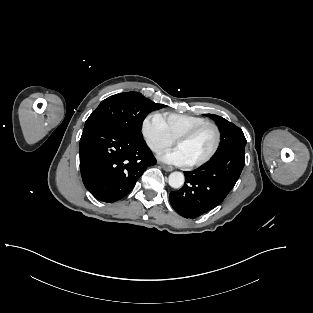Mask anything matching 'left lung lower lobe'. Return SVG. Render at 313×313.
<instances>
[{
    "label": "left lung lower lobe",
    "mask_w": 313,
    "mask_h": 313,
    "mask_svg": "<svg viewBox=\"0 0 313 313\" xmlns=\"http://www.w3.org/2000/svg\"><path fill=\"white\" fill-rule=\"evenodd\" d=\"M244 164L245 149L234 148L185 172V185L169 195L172 207L181 216L192 219L215 208L234 187Z\"/></svg>",
    "instance_id": "0a47b994"
}]
</instances>
